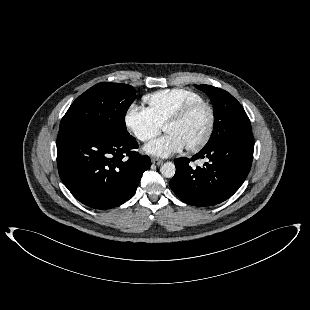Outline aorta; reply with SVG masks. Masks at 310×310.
<instances>
[{
	"label": "aorta",
	"mask_w": 310,
	"mask_h": 310,
	"mask_svg": "<svg viewBox=\"0 0 310 310\" xmlns=\"http://www.w3.org/2000/svg\"><path fill=\"white\" fill-rule=\"evenodd\" d=\"M175 165L172 162H166L160 167V172L165 178H172L175 175Z\"/></svg>",
	"instance_id": "obj_1"
}]
</instances>
